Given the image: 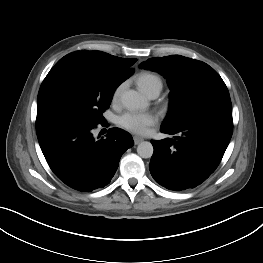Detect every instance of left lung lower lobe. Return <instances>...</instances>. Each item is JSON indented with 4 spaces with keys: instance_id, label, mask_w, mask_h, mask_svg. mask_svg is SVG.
<instances>
[{
    "instance_id": "0a47b994",
    "label": "left lung lower lobe",
    "mask_w": 263,
    "mask_h": 263,
    "mask_svg": "<svg viewBox=\"0 0 263 263\" xmlns=\"http://www.w3.org/2000/svg\"><path fill=\"white\" fill-rule=\"evenodd\" d=\"M160 131L176 136L151 141V175L161 186L181 191L195 188L215 171L230 142L233 121L214 115L172 128L161 126Z\"/></svg>"
}]
</instances>
